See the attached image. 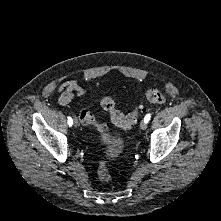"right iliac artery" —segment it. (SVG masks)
I'll list each match as a JSON object with an SVG mask.
<instances>
[{
    "label": "right iliac artery",
    "instance_id": "1",
    "mask_svg": "<svg viewBox=\"0 0 221 221\" xmlns=\"http://www.w3.org/2000/svg\"><path fill=\"white\" fill-rule=\"evenodd\" d=\"M72 124H73L72 118H71V117H68V125H69V126H72Z\"/></svg>",
    "mask_w": 221,
    "mask_h": 221
}]
</instances>
